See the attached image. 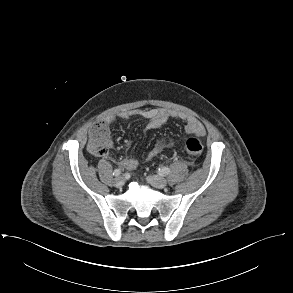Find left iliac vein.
<instances>
[{
    "label": "left iliac vein",
    "instance_id": "4c4485c4",
    "mask_svg": "<svg viewBox=\"0 0 293 293\" xmlns=\"http://www.w3.org/2000/svg\"><path fill=\"white\" fill-rule=\"evenodd\" d=\"M146 180L149 184L158 189H163L167 186L166 179L157 175H149Z\"/></svg>",
    "mask_w": 293,
    "mask_h": 293
}]
</instances>
